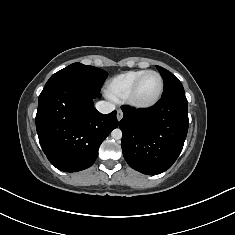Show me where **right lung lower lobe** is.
Returning a JSON list of instances; mask_svg holds the SVG:
<instances>
[{"instance_id":"obj_1","label":"right lung lower lobe","mask_w":235,"mask_h":235,"mask_svg":"<svg viewBox=\"0 0 235 235\" xmlns=\"http://www.w3.org/2000/svg\"><path fill=\"white\" fill-rule=\"evenodd\" d=\"M96 91L75 83L44 87L39 96L36 129L48 160L59 170L77 172L90 167L98 149L118 127L116 111L104 115L93 105Z\"/></svg>"}]
</instances>
